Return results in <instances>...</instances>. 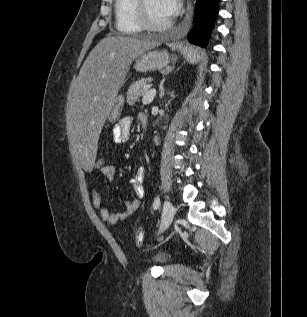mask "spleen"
<instances>
[{"label":"spleen","mask_w":307,"mask_h":317,"mask_svg":"<svg viewBox=\"0 0 307 317\" xmlns=\"http://www.w3.org/2000/svg\"><path fill=\"white\" fill-rule=\"evenodd\" d=\"M196 51L192 52L189 50V53H188V59L190 58V61L191 62H194L196 60Z\"/></svg>","instance_id":"obj_1"}]
</instances>
